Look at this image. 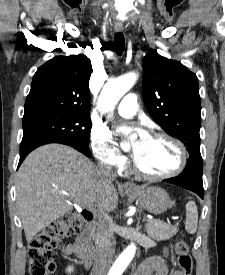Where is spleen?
I'll return each instance as SVG.
<instances>
[{"mask_svg":"<svg viewBox=\"0 0 225 275\" xmlns=\"http://www.w3.org/2000/svg\"><path fill=\"white\" fill-rule=\"evenodd\" d=\"M198 210L194 201L190 200L186 204L185 229L188 233L194 234L197 230Z\"/></svg>","mask_w":225,"mask_h":275,"instance_id":"1","label":"spleen"}]
</instances>
